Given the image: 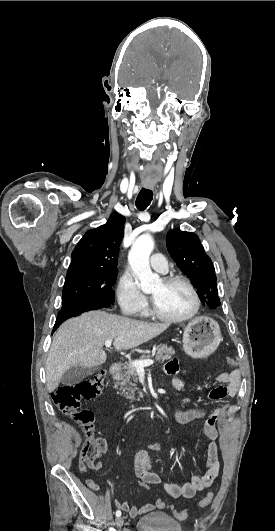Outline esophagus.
Instances as JSON below:
<instances>
[{
  "mask_svg": "<svg viewBox=\"0 0 275 531\" xmlns=\"http://www.w3.org/2000/svg\"><path fill=\"white\" fill-rule=\"evenodd\" d=\"M143 186H144V188H147V189H150V190H151V189H154V186H153V185H146V184H144Z\"/></svg>",
  "mask_w": 275,
  "mask_h": 531,
  "instance_id": "esophagus-1",
  "label": "esophagus"
}]
</instances>
